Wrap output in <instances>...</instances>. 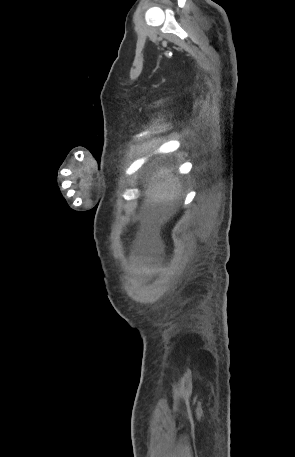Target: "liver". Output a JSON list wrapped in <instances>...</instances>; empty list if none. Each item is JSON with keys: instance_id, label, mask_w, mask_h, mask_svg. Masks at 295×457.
<instances>
[{"instance_id": "6515ba94", "label": "liver", "mask_w": 295, "mask_h": 457, "mask_svg": "<svg viewBox=\"0 0 295 457\" xmlns=\"http://www.w3.org/2000/svg\"><path fill=\"white\" fill-rule=\"evenodd\" d=\"M182 191L179 178L174 176L172 169L160 168L153 173L150 182L146 185L145 205H167L177 199Z\"/></svg>"}]
</instances>
